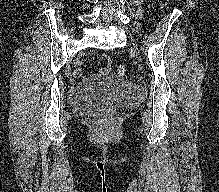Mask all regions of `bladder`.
Segmentation results:
<instances>
[{
    "label": "bladder",
    "instance_id": "31cf9c89",
    "mask_svg": "<svg viewBox=\"0 0 219 192\" xmlns=\"http://www.w3.org/2000/svg\"><path fill=\"white\" fill-rule=\"evenodd\" d=\"M141 94L136 83L108 77L97 88L75 87L70 92V102L83 115L106 116L136 100Z\"/></svg>",
    "mask_w": 219,
    "mask_h": 192
}]
</instances>
